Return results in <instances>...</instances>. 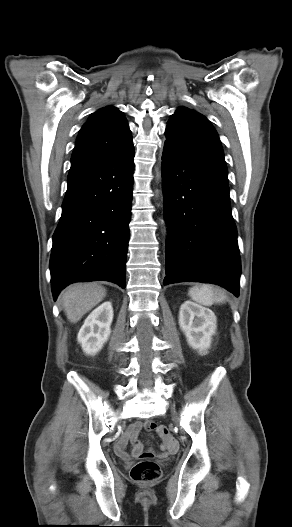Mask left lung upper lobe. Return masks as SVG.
<instances>
[{
  "label": "left lung upper lobe",
  "instance_id": "left-lung-upper-lobe-1",
  "mask_svg": "<svg viewBox=\"0 0 292 527\" xmlns=\"http://www.w3.org/2000/svg\"><path fill=\"white\" fill-rule=\"evenodd\" d=\"M165 133V145L195 157L225 164L218 134L200 113L188 108L178 109L170 118Z\"/></svg>",
  "mask_w": 292,
  "mask_h": 527
}]
</instances>
